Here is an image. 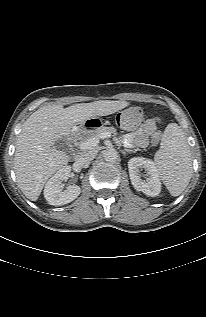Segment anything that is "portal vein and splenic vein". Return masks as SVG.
I'll return each instance as SVG.
<instances>
[{
	"mask_svg": "<svg viewBox=\"0 0 206 317\" xmlns=\"http://www.w3.org/2000/svg\"><path fill=\"white\" fill-rule=\"evenodd\" d=\"M111 137L110 133H101L100 135L96 137H92L88 139L87 141L83 142L80 144V149L81 150H86V149H92L97 146L99 143L100 139H105Z\"/></svg>",
	"mask_w": 206,
	"mask_h": 317,
	"instance_id": "portal-vein-and-splenic-vein-1",
	"label": "portal vein and splenic vein"
}]
</instances>
